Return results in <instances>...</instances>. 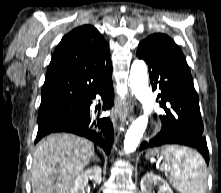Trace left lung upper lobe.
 <instances>
[{
  "instance_id": "5c2ea615",
  "label": "left lung upper lobe",
  "mask_w": 221,
  "mask_h": 193,
  "mask_svg": "<svg viewBox=\"0 0 221 193\" xmlns=\"http://www.w3.org/2000/svg\"><path fill=\"white\" fill-rule=\"evenodd\" d=\"M141 43L149 47H152L159 52L185 58L182 51L175 44V42L165 34H152L145 40H143Z\"/></svg>"
}]
</instances>
